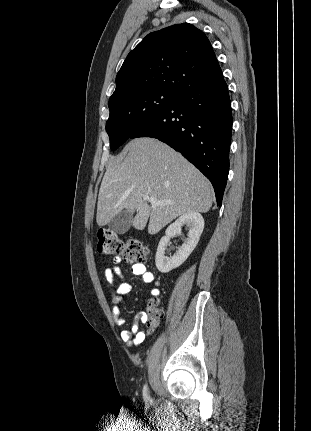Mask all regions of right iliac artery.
<instances>
[{
  "label": "right iliac artery",
  "mask_w": 311,
  "mask_h": 431,
  "mask_svg": "<svg viewBox=\"0 0 311 431\" xmlns=\"http://www.w3.org/2000/svg\"><path fill=\"white\" fill-rule=\"evenodd\" d=\"M148 397H149V394H148V387H147V385L145 384V385H144V387H143V398H144V399H148Z\"/></svg>",
  "instance_id": "82829eb1"
}]
</instances>
